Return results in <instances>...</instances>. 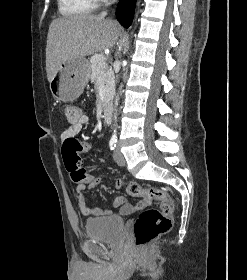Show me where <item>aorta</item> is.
<instances>
[{"label": "aorta", "mask_w": 247, "mask_h": 280, "mask_svg": "<svg viewBox=\"0 0 247 280\" xmlns=\"http://www.w3.org/2000/svg\"><path fill=\"white\" fill-rule=\"evenodd\" d=\"M117 105H118V97H116V100H115V106H117Z\"/></svg>", "instance_id": "obj_1"}]
</instances>
